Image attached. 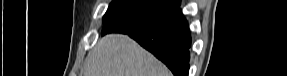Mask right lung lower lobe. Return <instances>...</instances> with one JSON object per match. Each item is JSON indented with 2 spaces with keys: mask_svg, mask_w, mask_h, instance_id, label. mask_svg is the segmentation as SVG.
I'll return each instance as SVG.
<instances>
[{
  "mask_svg": "<svg viewBox=\"0 0 287 76\" xmlns=\"http://www.w3.org/2000/svg\"><path fill=\"white\" fill-rule=\"evenodd\" d=\"M179 4L148 28L127 34L164 62L175 76H188L191 36Z\"/></svg>",
  "mask_w": 287,
  "mask_h": 76,
  "instance_id": "1",
  "label": "right lung lower lobe"
}]
</instances>
